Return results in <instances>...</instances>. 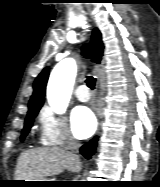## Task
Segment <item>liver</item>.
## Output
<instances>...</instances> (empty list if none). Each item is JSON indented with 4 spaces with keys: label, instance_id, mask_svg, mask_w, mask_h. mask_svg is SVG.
Masks as SVG:
<instances>
[{
    "label": "liver",
    "instance_id": "6515ba94",
    "mask_svg": "<svg viewBox=\"0 0 160 187\" xmlns=\"http://www.w3.org/2000/svg\"><path fill=\"white\" fill-rule=\"evenodd\" d=\"M80 160L63 148L48 147L26 150L18 158L15 179L17 181H32L58 175L64 169L78 172Z\"/></svg>",
    "mask_w": 160,
    "mask_h": 187
}]
</instances>
